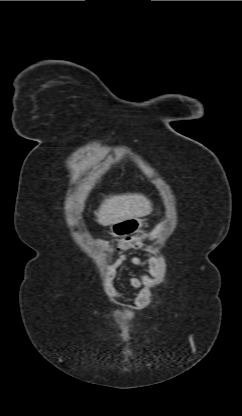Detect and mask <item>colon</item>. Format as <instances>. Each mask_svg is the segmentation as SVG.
Wrapping results in <instances>:
<instances>
[{
    "label": "colon",
    "mask_w": 242,
    "mask_h": 416,
    "mask_svg": "<svg viewBox=\"0 0 242 416\" xmlns=\"http://www.w3.org/2000/svg\"><path fill=\"white\" fill-rule=\"evenodd\" d=\"M161 230H162L161 227L154 229L148 237L151 239L156 238L161 232ZM144 239H145V236H132V237L126 238L119 243L118 249L119 250L139 249L143 246Z\"/></svg>",
    "instance_id": "1"
}]
</instances>
